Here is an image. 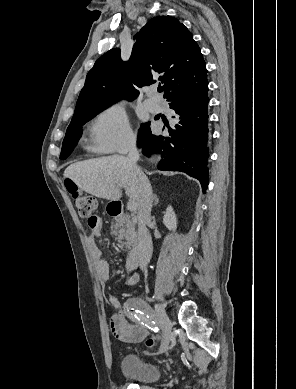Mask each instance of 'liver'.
<instances>
[{
	"instance_id": "obj_1",
	"label": "liver",
	"mask_w": 296,
	"mask_h": 389,
	"mask_svg": "<svg viewBox=\"0 0 296 389\" xmlns=\"http://www.w3.org/2000/svg\"><path fill=\"white\" fill-rule=\"evenodd\" d=\"M64 178H70L81 190L107 200L120 199L125 189L127 196L139 204V180L127 157L112 155L79 161L68 166Z\"/></svg>"
}]
</instances>
